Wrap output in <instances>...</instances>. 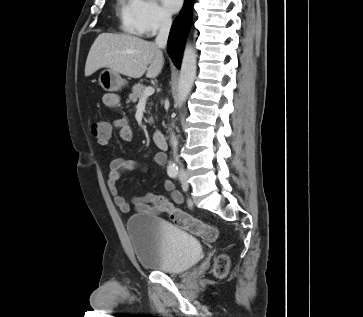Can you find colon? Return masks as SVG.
Listing matches in <instances>:
<instances>
[{"label": "colon", "instance_id": "colon-1", "mask_svg": "<svg viewBox=\"0 0 363 317\" xmlns=\"http://www.w3.org/2000/svg\"><path fill=\"white\" fill-rule=\"evenodd\" d=\"M104 123L102 121L93 122L90 125L92 135L99 136L104 131ZM168 214L170 219L180 228L185 229L195 235L200 236L206 241H214L217 238L216 229L197 218H194L174 206H168ZM228 271V260L226 256L220 255L214 264L213 272L218 277H223Z\"/></svg>", "mask_w": 363, "mask_h": 317}]
</instances>
